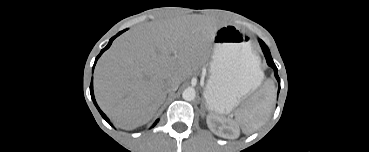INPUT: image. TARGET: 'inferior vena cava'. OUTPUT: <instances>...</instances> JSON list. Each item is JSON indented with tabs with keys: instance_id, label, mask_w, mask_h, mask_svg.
<instances>
[{
	"instance_id": "1",
	"label": "inferior vena cava",
	"mask_w": 369,
	"mask_h": 152,
	"mask_svg": "<svg viewBox=\"0 0 369 152\" xmlns=\"http://www.w3.org/2000/svg\"><path fill=\"white\" fill-rule=\"evenodd\" d=\"M178 87H179V83L177 81L170 80L166 84V91L167 92L176 91Z\"/></svg>"
}]
</instances>
